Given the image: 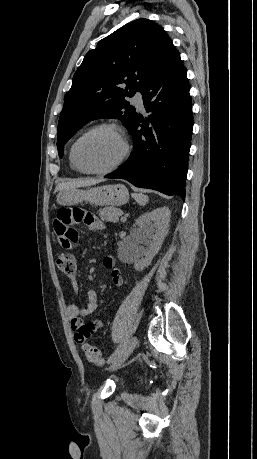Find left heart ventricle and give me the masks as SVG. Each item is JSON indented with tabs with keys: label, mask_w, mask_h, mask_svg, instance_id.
I'll list each match as a JSON object with an SVG mask.
<instances>
[{
	"label": "left heart ventricle",
	"mask_w": 257,
	"mask_h": 459,
	"mask_svg": "<svg viewBox=\"0 0 257 459\" xmlns=\"http://www.w3.org/2000/svg\"><path fill=\"white\" fill-rule=\"evenodd\" d=\"M122 152V140L111 130L94 132L78 147V157L81 163L89 169H103L111 166Z\"/></svg>",
	"instance_id": "obj_1"
}]
</instances>
